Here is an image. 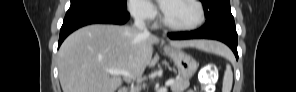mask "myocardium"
Masks as SVG:
<instances>
[{
	"label": "myocardium",
	"instance_id": "f54148a6",
	"mask_svg": "<svg viewBox=\"0 0 296 92\" xmlns=\"http://www.w3.org/2000/svg\"><path fill=\"white\" fill-rule=\"evenodd\" d=\"M187 1L192 2L196 6V8L198 10V20L194 24L189 25V26H178V25L170 23L166 18L165 12L163 11L162 24L166 28L173 30V31H193L203 25V23L205 21V17H206L203 5L201 4V2H199L197 0H187Z\"/></svg>",
	"mask_w": 296,
	"mask_h": 92
}]
</instances>
